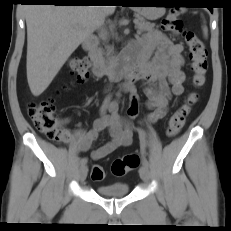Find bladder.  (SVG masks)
<instances>
[{"mask_svg": "<svg viewBox=\"0 0 231 231\" xmlns=\"http://www.w3.org/2000/svg\"><path fill=\"white\" fill-rule=\"evenodd\" d=\"M97 192L107 198H121L129 193V186L125 183H115L109 185H99Z\"/></svg>", "mask_w": 231, "mask_h": 231, "instance_id": "1", "label": "bladder"}]
</instances>
